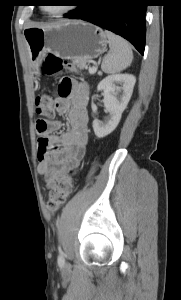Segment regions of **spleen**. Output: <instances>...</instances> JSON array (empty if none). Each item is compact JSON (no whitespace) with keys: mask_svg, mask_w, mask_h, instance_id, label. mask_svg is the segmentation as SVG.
<instances>
[{"mask_svg":"<svg viewBox=\"0 0 181 300\" xmlns=\"http://www.w3.org/2000/svg\"><path fill=\"white\" fill-rule=\"evenodd\" d=\"M110 52L104 56L101 69L104 73L115 74L129 67L133 60V52L129 43L122 37L105 31Z\"/></svg>","mask_w":181,"mask_h":300,"instance_id":"3e777b00","label":"spleen"}]
</instances>
